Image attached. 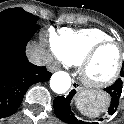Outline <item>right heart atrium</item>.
<instances>
[{"instance_id": "1", "label": "right heart atrium", "mask_w": 124, "mask_h": 124, "mask_svg": "<svg viewBox=\"0 0 124 124\" xmlns=\"http://www.w3.org/2000/svg\"><path fill=\"white\" fill-rule=\"evenodd\" d=\"M57 42H58L57 35L53 31H50L47 35V46H48L49 52L56 58L63 61L61 54L58 50Z\"/></svg>"}]
</instances>
